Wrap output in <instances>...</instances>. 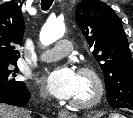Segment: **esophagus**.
<instances>
[{"label": "esophagus", "instance_id": "1", "mask_svg": "<svg viewBox=\"0 0 133 118\" xmlns=\"http://www.w3.org/2000/svg\"><path fill=\"white\" fill-rule=\"evenodd\" d=\"M58 115L60 118H77L75 114L70 113L67 109H61Z\"/></svg>", "mask_w": 133, "mask_h": 118}]
</instances>
